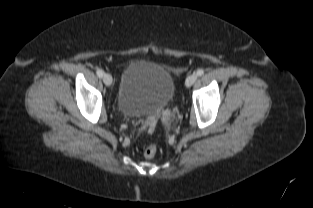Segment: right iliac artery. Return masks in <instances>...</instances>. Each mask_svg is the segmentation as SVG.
<instances>
[{
  "mask_svg": "<svg viewBox=\"0 0 313 208\" xmlns=\"http://www.w3.org/2000/svg\"><path fill=\"white\" fill-rule=\"evenodd\" d=\"M96 74H97V76H98L99 78H102L103 75H104V72H103V70H101V69H97Z\"/></svg>",
  "mask_w": 313,
  "mask_h": 208,
  "instance_id": "right-iliac-artery-1",
  "label": "right iliac artery"
}]
</instances>
